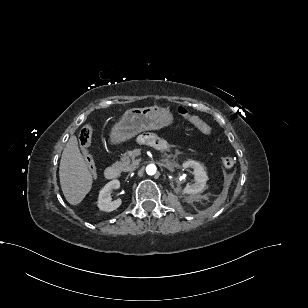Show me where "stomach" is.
Returning a JSON list of instances; mask_svg holds the SVG:
<instances>
[{"mask_svg": "<svg viewBox=\"0 0 308 308\" xmlns=\"http://www.w3.org/2000/svg\"><path fill=\"white\" fill-rule=\"evenodd\" d=\"M174 118L169 109L160 106L128 109L122 118L112 127L110 141L118 144L135 135L169 126Z\"/></svg>", "mask_w": 308, "mask_h": 308, "instance_id": "stomach-1", "label": "stomach"}]
</instances>
